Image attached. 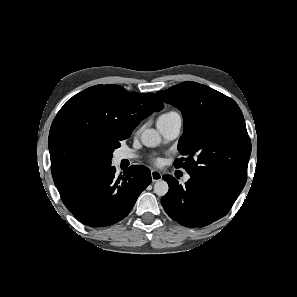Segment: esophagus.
<instances>
[{"label":"esophagus","instance_id":"esophagus-1","mask_svg":"<svg viewBox=\"0 0 297 297\" xmlns=\"http://www.w3.org/2000/svg\"><path fill=\"white\" fill-rule=\"evenodd\" d=\"M151 177H152V181L156 182L162 179V174L157 170H152Z\"/></svg>","mask_w":297,"mask_h":297}]
</instances>
